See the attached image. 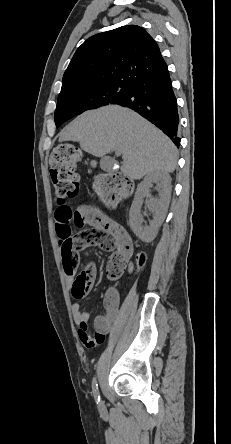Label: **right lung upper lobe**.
I'll list each match as a JSON object with an SVG mask.
<instances>
[{
  "label": "right lung upper lobe",
  "mask_w": 231,
  "mask_h": 444,
  "mask_svg": "<svg viewBox=\"0 0 231 444\" xmlns=\"http://www.w3.org/2000/svg\"><path fill=\"white\" fill-rule=\"evenodd\" d=\"M167 69L154 39L141 27L122 26L87 39L66 69L61 92L134 82Z\"/></svg>",
  "instance_id": "cb5924a9"
}]
</instances>
